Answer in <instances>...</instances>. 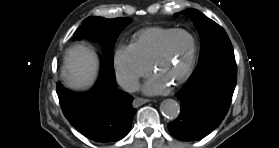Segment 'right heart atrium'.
I'll return each instance as SVG.
<instances>
[{
	"instance_id": "d8ad5b80",
	"label": "right heart atrium",
	"mask_w": 279,
	"mask_h": 148,
	"mask_svg": "<svg viewBox=\"0 0 279 148\" xmlns=\"http://www.w3.org/2000/svg\"><path fill=\"white\" fill-rule=\"evenodd\" d=\"M114 67L119 83L128 90L135 89L139 80L150 72V66L140 59L132 46L121 47L116 51Z\"/></svg>"
}]
</instances>
